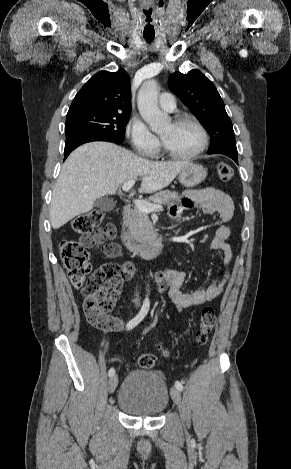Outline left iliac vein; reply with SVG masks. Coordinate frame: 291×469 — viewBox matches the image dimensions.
Returning <instances> with one entry per match:
<instances>
[{"mask_svg":"<svg viewBox=\"0 0 291 469\" xmlns=\"http://www.w3.org/2000/svg\"><path fill=\"white\" fill-rule=\"evenodd\" d=\"M171 396H172V399L175 402V404L178 406V409H179V412H180V415H181V419L184 421L185 416H184V413H183V410H182L181 393H180V391L177 387H172L171 388Z\"/></svg>","mask_w":291,"mask_h":469,"instance_id":"obj_1","label":"left iliac vein"}]
</instances>
